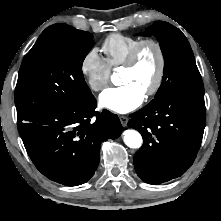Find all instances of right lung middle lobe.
I'll return each mask as SVG.
<instances>
[{"mask_svg":"<svg viewBox=\"0 0 221 221\" xmlns=\"http://www.w3.org/2000/svg\"><path fill=\"white\" fill-rule=\"evenodd\" d=\"M93 36L75 33H42L21 64L15 89L17 120L40 112L68 109L92 93L82 64L94 45Z\"/></svg>","mask_w":221,"mask_h":221,"instance_id":"obj_1","label":"right lung middle lobe"}]
</instances>
